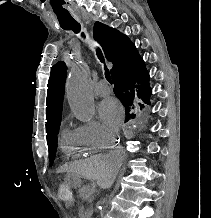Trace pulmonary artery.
<instances>
[{
    "label": "pulmonary artery",
    "instance_id": "1",
    "mask_svg": "<svg viewBox=\"0 0 211 218\" xmlns=\"http://www.w3.org/2000/svg\"><path fill=\"white\" fill-rule=\"evenodd\" d=\"M95 92L101 97L108 96L111 92L108 82L106 80L98 81L95 86Z\"/></svg>",
    "mask_w": 211,
    "mask_h": 218
}]
</instances>
